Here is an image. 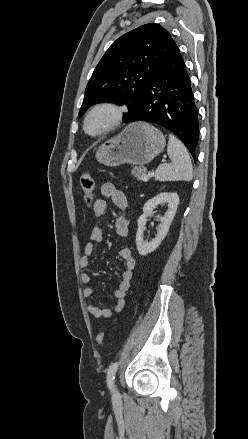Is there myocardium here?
I'll list each match as a JSON object with an SVG mask.
<instances>
[{
  "label": "myocardium",
  "instance_id": "obj_1",
  "mask_svg": "<svg viewBox=\"0 0 248 439\" xmlns=\"http://www.w3.org/2000/svg\"><path fill=\"white\" fill-rule=\"evenodd\" d=\"M108 112L110 118L106 125L101 128L97 132H90L88 129V122L92 116L99 112ZM125 115V109L113 102H100L93 105L85 114L83 120V130L84 132L91 137H100L105 135L106 133L112 131L117 128L123 121Z\"/></svg>",
  "mask_w": 248,
  "mask_h": 439
}]
</instances>
